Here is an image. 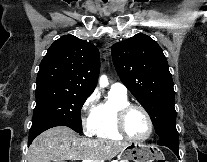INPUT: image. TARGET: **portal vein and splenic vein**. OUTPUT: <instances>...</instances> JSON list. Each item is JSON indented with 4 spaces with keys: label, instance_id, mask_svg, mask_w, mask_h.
I'll return each mask as SVG.
<instances>
[{
    "label": "portal vein and splenic vein",
    "instance_id": "1",
    "mask_svg": "<svg viewBox=\"0 0 207 162\" xmlns=\"http://www.w3.org/2000/svg\"><path fill=\"white\" fill-rule=\"evenodd\" d=\"M82 162H104V161H98V160H83Z\"/></svg>",
    "mask_w": 207,
    "mask_h": 162
}]
</instances>
